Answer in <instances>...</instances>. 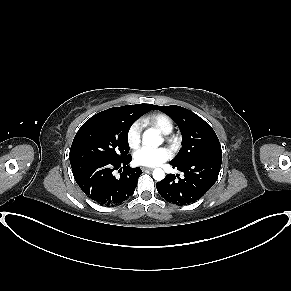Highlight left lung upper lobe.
<instances>
[{"label":"left lung upper lobe","instance_id":"5c2ea615","mask_svg":"<svg viewBox=\"0 0 291 291\" xmlns=\"http://www.w3.org/2000/svg\"><path fill=\"white\" fill-rule=\"evenodd\" d=\"M155 109L170 116L178 124L182 134V147L171 163L180 164L197 157L222 155L217 135L201 117L176 105H156Z\"/></svg>","mask_w":291,"mask_h":291}]
</instances>
